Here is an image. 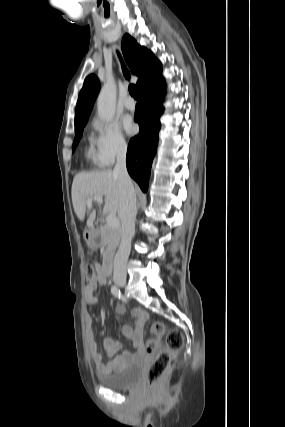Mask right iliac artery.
Instances as JSON below:
<instances>
[{
  "instance_id": "obj_1",
  "label": "right iliac artery",
  "mask_w": 285,
  "mask_h": 427,
  "mask_svg": "<svg viewBox=\"0 0 285 427\" xmlns=\"http://www.w3.org/2000/svg\"><path fill=\"white\" fill-rule=\"evenodd\" d=\"M111 292H112V294L115 296V297H117V298H121V292H120V289L117 287V286H112L111 287Z\"/></svg>"
}]
</instances>
